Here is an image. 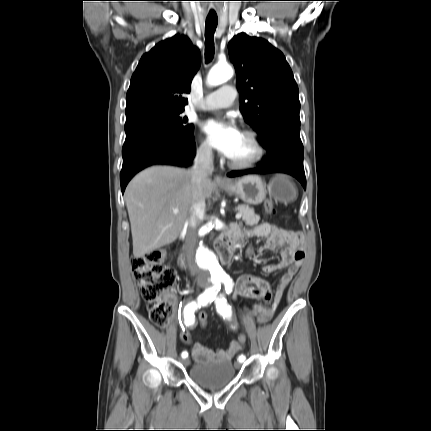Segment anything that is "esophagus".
I'll return each instance as SVG.
<instances>
[{
	"mask_svg": "<svg viewBox=\"0 0 431 431\" xmlns=\"http://www.w3.org/2000/svg\"><path fill=\"white\" fill-rule=\"evenodd\" d=\"M214 182L218 184H228L230 181L221 175H216L214 177Z\"/></svg>",
	"mask_w": 431,
	"mask_h": 431,
	"instance_id": "obj_1",
	"label": "esophagus"
}]
</instances>
